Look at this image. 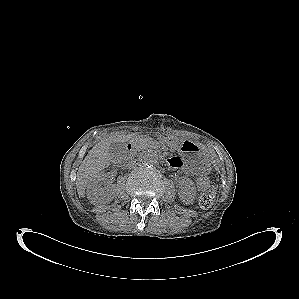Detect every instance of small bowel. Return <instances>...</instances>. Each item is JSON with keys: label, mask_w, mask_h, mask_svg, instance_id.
<instances>
[{"label": "small bowel", "mask_w": 299, "mask_h": 299, "mask_svg": "<svg viewBox=\"0 0 299 299\" xmlns=\"http://www.w3.org/2000/svg\"><path fill=\"white\" fill-rule=\"evenodd\" d=\"M169 164L174 168H178L181 166V160L177 157H173L169 160Z\"/></svg>", "instance_id": "obj_1"}]
</instances>
